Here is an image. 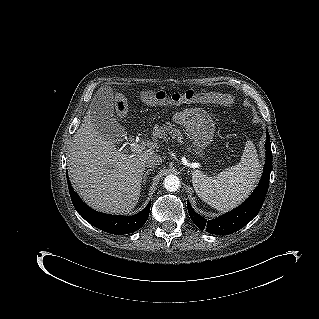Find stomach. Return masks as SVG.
<instances>
[{"mask_svg":"<svg viewBox=\"0 0 319 319\" xmlns=\"http://www.w3.org/2000/svg\"><path fill=\"white\" fill-rule=\"evenodd\" d=\"M182 124L192 141L193 155L202 159L205 149L214 137L215 127L212 118L203 110H195L186 115Z\"/></svg>","mask_w":319,"mask_h":319,"instance_id":"1","label":"stomach"}]
</instances>
